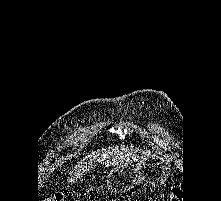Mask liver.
I'll return each mask as SVG.
<instances>
[{"label": "liver", "mask_w": 221, "mask_h": 201, "mask_svg": "<svg viewBox=\"0 0 221 201\" xmlns=\"http://www.w3.org/2000/svg\"><path fill=\"white\" fill-rule=\"evenodd\" d=\"M149 155L148 151L129 148L125 145L97 150L87 155L75 166V169L70 173L69 181L75 182L82 175L90 172L96 166L97 162L104 166H117L132 163L133 161L146 158Z\"/></svg>", "instance_id": "1"}]
</instances>
